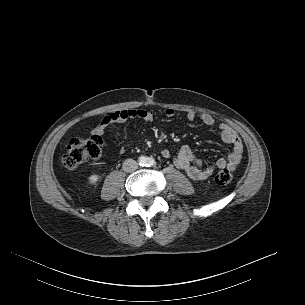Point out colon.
<instances>
[{"instance_id": "5ec220e1", "label": "colon", "mask_w": 305, "mask_h": 305, "mask_svg": "<svg viewBox=\"0 0 305 305\" xmlns=\"http://www.w3.org/2000/svg\"><path fill=\"white\" fill-rule=\"evenodd\" d=\"M103 140L98 135L89 137H74L67 144L66 151L61 157L62 164L67 169H75L78 166L97 159L101 156L103 150ZM233 180V175L229 170H221L215 177L219 185H227Z\"/></svg>"}]
</instances>
